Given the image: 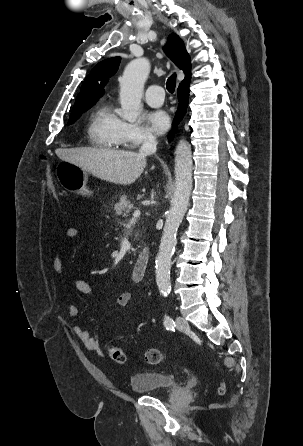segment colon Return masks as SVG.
<instances>
[{
    "instance_id": "5ec220e1",
    "label": "colon",
    "mask_w": 303,
    "mask_h": 446,
    "mask_svg": "<svg viewBox=\"0 0 303 446\" xmlns=\"http://www.w3.org/2000/svg\"><path fill=\"white\" fill-rule=\"evenodd\" d=\"M45 179H46L47 189L54 196L56 197L59 196L60 195L59 188L48 166L45 167ZM108 351L110 357L115 363L122 365L126 362L125 353L121 348L110 346ZM162 358H163L162 353L157 349H148L145 352V360L147 361V363L151 365L159 364L162 361ZM224 392H225V385L223 383H220L218 388V393L223 394Z\"/></svg>"
}]
</instances>
